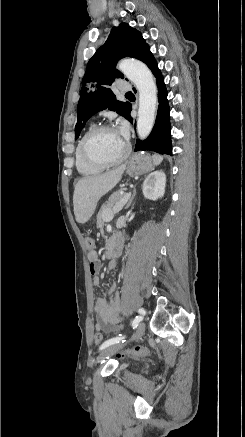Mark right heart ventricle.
Instances as JSON below:
<instances>
[{
    "label": "right heart ventricle",
    "instance_id": "e07e8e85",
    "mask_svg": "<svg viewBox=\"0 0 245 437\" xmlns=\"http://www.w3.org/2000/svg\"><path fill=\"white\" fill-rule=\"evenodd\" d=\"M93 128L92 125L89 127V130ZM88 131H86L81 138L78 140L77 144H76V148H75V152H74V157H75V166L77 171L85 176H91V175H96L101 173L104 168L102 167H98L95 166L91 163H89L88 161H86V159L83 157L82 151H81V142L82 139L84 137V135L87 133Z\"/></svg>",
    "mask_w": 245,
    "mask_h": 437
}]
</instances>
